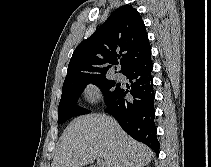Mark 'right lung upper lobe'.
<instances>
[{"label": "right lung upper lobe", "instance_id": "1", "mask_svg": "<svg viewBox=\"0 0 211 167\" xmlns=\"http://www.w3.org/2000/svg\"><path fill=\"white\" fill-rule=\"evenodd\" d=\"M151 56L144 22L130 5L116 9L110 17L73 52L63 85L105 76L120 59L122 74Z\"/></svg>", "mask_w": 211, "mask_h": 167}]
</instances>
